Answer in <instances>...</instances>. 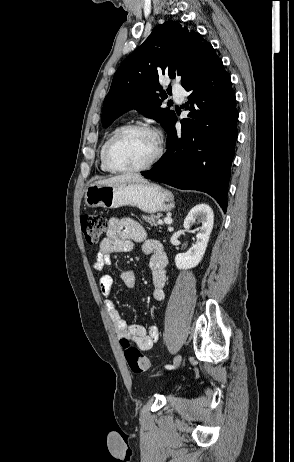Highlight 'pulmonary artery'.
Instances as JSON below:
<instances>
[{"mask_svg":"<svg viewBox=\"0 0 294 462\" xmlns=\"http://www.w3.org/2000/svg\"><path fill=\"white\" fill-rule=\"evenodd\" d=\"M173 96H174V99L178 102V103H181L183 102L184 98H185V91L183 90V88H181L180 86H173Z\"/></svg>","mask_w":294,"mask_h":462,"instance_id":"pulmonary-artery-1","label":"pulmonary artery"}]
</instances>
